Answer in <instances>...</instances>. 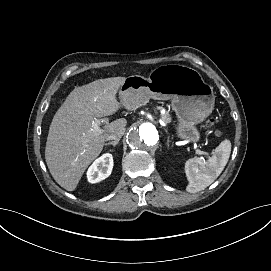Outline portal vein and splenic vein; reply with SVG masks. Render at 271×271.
<instances>
[{"mask_svg": "<svg viewBox=\"0 0 271 271\" xmlns=\"http://www.w3.org/2000/svg\"><path fill=\"white\" fill-rule=\"evenodd\" d=\"M197 154H198V155H202V154H203V155H212V152H204V151L202 152V151L198 150V151H197ZM200 158H202V157H200Z\"/></svg>", "mask_w": 271, "mask_h": 271, "instance_id": "18ae733b", "label": "portal vein and splenic vein"}]
</instances>
